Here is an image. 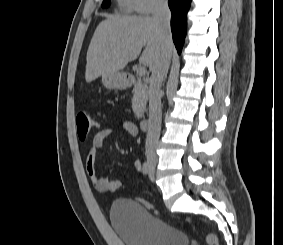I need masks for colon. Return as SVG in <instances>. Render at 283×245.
I'll return each instance as SVG.
<instances>
[{
	"label": "colon",
	"mask_w": 283,
	"mask_h": 245,
	"mask_svg": "<svg viewBox=\"0 0 283 245\" xmlns=\"http://www.w3.org/2000/svg\"><path fill=\"white\" fill-rule=\"evenodd\" d=\"M77 134L80 140L84 141L88 138L90 132L97 127V123L93 120L88 112H80L76 116ZM121 182L119 179H111L109 184V191L114 192L119 189ZM142 204L148 208L153 209V206L148 201L142 200ZM208 245H218V238L215 234L208 233L205 236Z\"/></svg>",
	"instance_id": "1"
}]
</instances>
